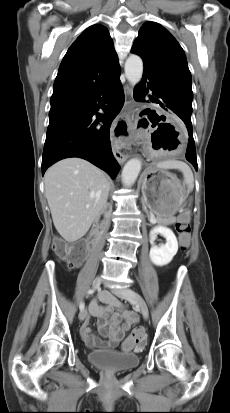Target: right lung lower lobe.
<instances>
[{
  "label": "right lung lower lobe",
  "mask_w": 230,
  "mask_h": 413,
  "mask_svg": "<svg viewBox=\"0 0 230 413\" xmlns=\"http://www.w3.org/2000/svg\"><path fill=\"white\" fill-rule=\"evenodd\" d=\"M119 77L85 97L51 103L42 175L61 159L79 157L116 177L120 166L111 150L110 126L124 104ZM100 109L105 114L97 113Z\"/></svg>",
  "instance_id": "right-lung-lower-lobe-1"
}]
</instances>
